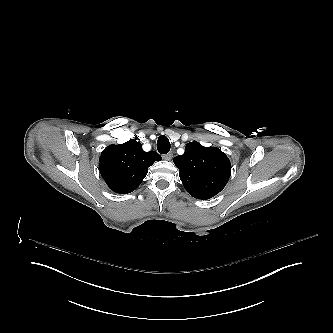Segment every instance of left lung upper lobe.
Here are the masks:
<instances>
[{
	"label": "left lung upper lobe",
	"instance_id": "obj_1",
	"mask_svg": "<svg viewBox=\"0 0 333 333\" xmlns=\"http://www.w3.org/2000/svg\"><path fill=\"white\" fill-rule=\"evenodd\" d=\"M174 163L185 189L201 200L218 194L231 174V163L224 152L196 141L188 143L184 154L176 156Z\"/></svg>",
	"mask_w": 333,
	"mask_h": 333
}]
</instances>
